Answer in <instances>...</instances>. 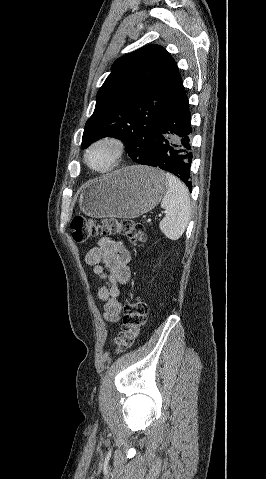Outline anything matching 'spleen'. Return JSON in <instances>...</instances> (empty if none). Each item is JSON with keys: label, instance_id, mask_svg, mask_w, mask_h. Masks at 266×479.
I'll use <instances>...</instances> for the list:
<instances>
[{"label": "spleen", "instance_id": "spleen-1", "mask_svg": "<svg viewBox=\"0 0 266 479\" xmlns=\"http://www.w3.org/2000/svg\"><path fill=\"white\" fill-rule=\"evenodd\" d=\"M167 189L161 202L166 215L160 221L161 232L170 240H178L191 218L190 196L187 187L171 173H166Z\"/></svg>", "mask_w": 266, "mask_h": 479}]
</instances>
